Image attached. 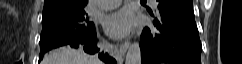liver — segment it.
I'll list each match as a JSON object with an SVG mask.
<instances>
[{"label": "liver", "mask_w": 242, "mask_h": 64, "mask_svg": "<svg viewBox=\"0 0 242 64\" xmlns=\"http://www.w3.org/2000/svg\"><path fill=\"white\" fill-rule=\"evenodd\" d=\"M42 64H102L95 56H90L82 50L62 47L46 55Z\"/></svg>", "instance_id": "obj_1"}]
</instances>
